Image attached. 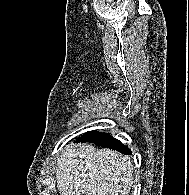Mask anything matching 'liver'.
<instances>
[{
  "label": "liver",
  "instance_id": "6515ba94",
  "mask_svg": "<svg viewBox=\"0 0 189 195\" xmlns=\"http://www.w3.org/2000/svg\"><path fill=\"white\" fill-rule=\"evenodd\" d=\"M132 174L129 157L90 144L67 146L56 167L60 195H127Z\"/></svg>",
  "mask_w": 189,
  "mask_h": 195
}]
</instances>
